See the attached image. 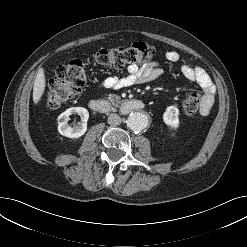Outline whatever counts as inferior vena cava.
Segmentation results:
<instances>
[{
	"label": "inferior vena cava",
	"mask_w": 247,
	"mask_h": 247,
	"mask_svg": "<svg viewBox=\"0 0 247 247\" xmlns=\"http://www.w3.org/2000/svg\"><path fill=\"white\" fill-rule=\"evenodd\" d=\"M108 123L113 126L121 124V118L118 114H110L108 116Z\"/></svg>",
	"instance_id": "obj_1"
}]
</instances>
